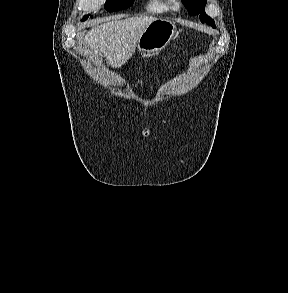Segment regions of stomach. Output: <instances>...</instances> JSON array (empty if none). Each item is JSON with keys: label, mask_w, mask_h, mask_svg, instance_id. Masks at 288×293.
<instances>
[{"label": "stomach", "mask_w": 288, "mask_h": 293, "mask_svg": "<svg viewBox=\"0 0 288 293\" xmlns=\"http://www.w3.org/2000/svg\"><path fill=\"white\" fill-rule=\"evenodd\" d=\"M177 32L175 23L167 19H156L141 34L137 49L143 54H154L164 50Z\"/></svg>", "instance_id": "1"}]
</instances>
